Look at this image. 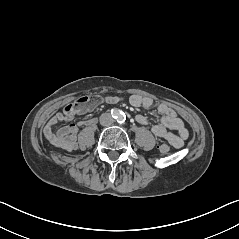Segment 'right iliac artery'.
<instances>
[{"instance_id": "82829eb1", "label": "right iliac artery", "mask_w": 239, "mask_h": 239, "mask_svg": "<svg viewBox=\"0 0 239 239\" xmlns=\"http://www.w3.org/2000/svg\"><path fill=\"white\" fill-rule=\"evenodd\" d=\"M111 113H112L113 117H115V118H117L119 116V110H117V109H112Z\"/></svg>"}]
</instances>
